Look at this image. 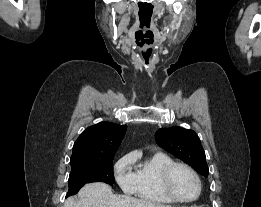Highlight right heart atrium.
Returning a JSON list of instances; mask_svg holds the SVG:
<instances>
[{
  "label": "right heart atrium",
  "mask_w": 261,
  "mask_h": 207,
  "mask_svg": "<svg viewBox=\"0 0 261 207\" xmlns=\"http://www.w3.org/2000/svg\"><path fill=\"white\" fill-rule=\"evenodd\" d=\"M133 156L121 157L114 166V174L120 188L127 194H133L137 187V175L133 167Z\"/></svg>",
  "instance_id": "right-heart-atrium-1"
}]
</instances>
